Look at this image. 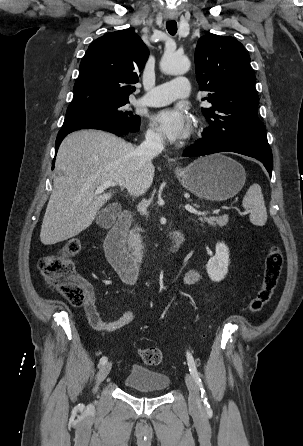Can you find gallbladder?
Here are the masks:
<instances>
[{
	"mask_svg": "<svg viewBox=\"0 0 303 446\" xmlns=\"http://www.w3.org/2000/svg\"><path fill=\"white\" fill-rule=\"evenodd\" d=\"M106 216H107V213L105 211L100 212L97 216L98 224L106 225V222H105ZM111 222H112V220H111Z\"/></svg>",
	"mask_w": 303,
	"mask_h": 446,
	"instance_id": "bac80fb5",
	"label": "gallbladder"
}]
</instances>
